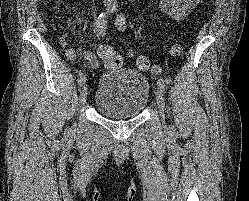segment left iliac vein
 <instances>
[{
	"instance_id": "left-iliac-vein-1",
	"label": "left iliac vein",
	"mask_w": 249,
	"mask_h": 201,
	"mask_svg": "<svg viewBox=\"0 0 249 201\" xmlns=\"http://www.w3.org/2000/svg\"><path fill=\"white\" fill-rule=\"evenodd\" d=\"M155 97H156V102H157V105H158V108H159V112H160V116L164 122V118H165V114H164V111H165V99H164V94H163V91L158 88L156 90V93H155Z\"/></svg>"
}]
</instances>
